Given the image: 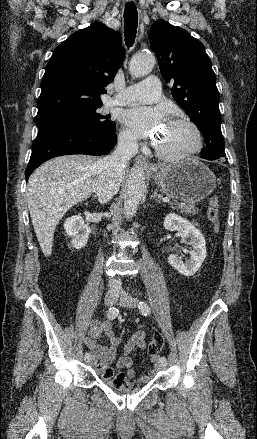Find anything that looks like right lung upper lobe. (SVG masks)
I'll use <instances>...</instances> for the list:
<instances>
[{"label":"right lung upper lobe","mask_w":257,"mask_h":439,"mask_svg":"<svg viewBox=\"0 0 257 439\" xmlns=\"http://www.w3.org/2000/svg\"><path fill=\"white\" fill-rule=\"evenodd\" d=\"M124 58L121 36L102 23L72 34L55 48L41 82L37 120L101 105V94Z\"/></svg>","instance_id":"obj_1"}]
</instances>
